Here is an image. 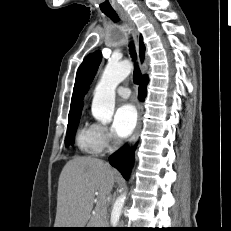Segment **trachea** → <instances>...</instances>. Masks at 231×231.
<instances>
[{"instance_id": "obj_1", "label": "trachea", "mask_w": 231, "mask_h": 231, "mask_svg": "<svg viewBox=\"0 0 231 231\" xmlns=\"http://www.w3.org/2000/svg\"><path fill=\"white\" fill-rule=\"evenodd\" d=\"M104 14L114 22L119 21L118 15L115 12H104ZM129 51H130V55L132 57V60L136 61V51H135V47L132 43L129 45ZM141 77H142V73H141L137 63L135 62V68H134V72H133L134 83L139 84Z\"/></svg>"}]
</instances>
